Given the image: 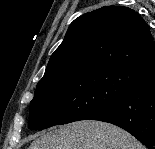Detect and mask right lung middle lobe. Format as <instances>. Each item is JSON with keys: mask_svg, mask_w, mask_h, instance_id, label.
<instances>
[{"mask_svg": "<svg viewBox=\"0 0 155 149\" xmlns=\"http://www.w3.org/2000/svg\"><path fill=\"white\" fill-rule=\"evenodd\" d=\"M145 79L130 69L104 68L40 81L30 102L29 128L90 119Z\"/></svg>", "mask_w": 155, "mask_h": 149, "instance_id": "right-lung-middle-lobe-1", "label": "right lung middle lobe"}]
</instances>
